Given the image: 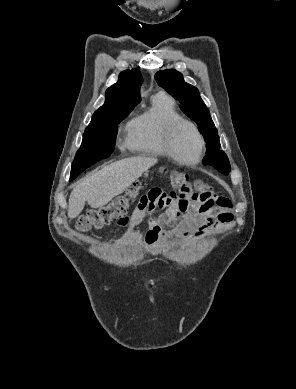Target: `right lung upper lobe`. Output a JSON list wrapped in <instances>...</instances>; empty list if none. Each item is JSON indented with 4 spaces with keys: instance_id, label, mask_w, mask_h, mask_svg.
Listing matches in <instances>:
<instances>
[{
    "instance_id": "cb5924a9",
    "label": "right lung upper lobe",
    "mask_w": 296,
    "mask_h": 389,
    "mask_svg": "<svg viewBox=\"0 0 296 389\" xmlns=\"http://www.w3.org/2000/svg\"><path fill=\"white\" fill-rule=\"evenodd\" d=\"M141 84L142 76L138 69L121 72L117 83L106 90L105 103L95 111L92 119L105 116L121 108L136 106L141 101L139 93Z\"/></svg>"
}]
</instances>
